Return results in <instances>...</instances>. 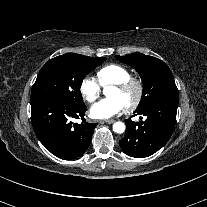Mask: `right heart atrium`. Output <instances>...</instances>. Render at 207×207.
<instances>
[{
    "label": "right heart atrium",
    "instance_id": "right-heart-atrium-1",
    "mask_svg": "<svg viewBox=\"0 0 207 207\" xmlns=\"http://www.w3.org/2000/svg\"><path fill=\"white\" fill-rule=\"evenodd\" d=\"M100 92L101 86L94 77L87 76L81 81L80 93L86 101H95L99 97Z\"/></svg>",
    "mask_w": 207,
    "mask_h": 207
}]
</instances>
